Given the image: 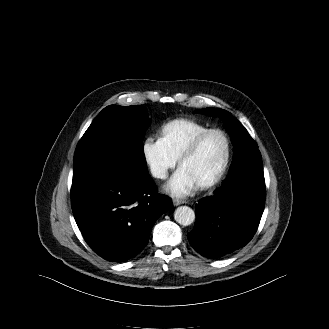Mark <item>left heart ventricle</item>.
<instances>
[{"label":"left heart ventricle","instance_id":"b2bd125f","mask_svg":"<svg viewBox=\"0 0 329 329\" xmlns=\"http://www.w3.org/2000/svg\"><path fill=\"white\" fill-rule=\"evenodd\" d=\"M225 157V141L219 134L208 135L200 144L196 153L186 159L182 167L200 184L216 174Z\"/></svg>","mask_w":329,"mask_h":329}]
</instances>
